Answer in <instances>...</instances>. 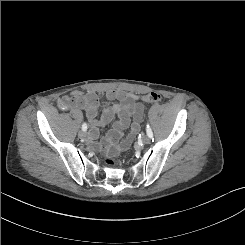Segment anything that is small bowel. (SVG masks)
<instances>
[{
	"label": "small bowel",
	"instance_id": "small-bowel-1",
	"mask_svg": "<svg viewBox=\"0 0 245 245\" xmlns=\"http://www.w3.org/2000/svg\"><path fill=\"white\" fill-rule=\"evenodd\" d=\"M105 96L107 99L116 100L117 102L105 108L100 118H97L98 97L94 92H88L84 95L83 103L74 108L85 109L86 116L92 125L90 133L91 138L97 136L98 127H104L114 118H117V121L113 125V129L103 143V147L108 151H117L126 148L139 132L140 123L144 114V106L139 101L137 95L123 90L110 89L106 91ZM129 127L130 133L126 140L118 143L122 132Z\"/></svg>",
	"mask_w": 245,
	"mask_h": 245
}]
</instances>
